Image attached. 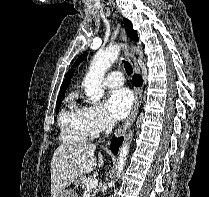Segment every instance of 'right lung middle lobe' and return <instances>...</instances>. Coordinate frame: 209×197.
I'll return each mask as SVG.
<instances>
[{
  "label": "right lung middle lobe",
  "instance_id": "1",
  "mask_svg": "<svg viewBox=\"0 0 209 197\" xmlns=\"http://www.w3.org/2000/svg\"><path fill=\"white\" fill-rule=\"evenodd\" d=\"M61 102H62V99L57 100V103H56V112H57V113H58V111H59Z\"/></svg>",
  "mask_w": 209,
  "mask_h": 197
}]
</instances>
